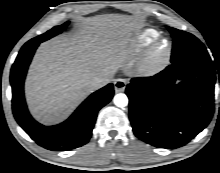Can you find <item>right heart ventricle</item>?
I'll return each mask as SVG.
<instances>
[{"instance_id": "obj_1", "label": "right heart ventricle", "mask_w": 220, "mask_h": 173, "mask_svg": "<svg viewBox=\"0 0 220 173\" xmlns=\"http://www.w3.org/2000/svg\"><path fill=\"white\" fill-rule=\"evenodd\" d=\"M158 36L159 33L150 28L144 29L134 35L125 50L127 57L131 59L140 54L143 49L156 40Z\"/></svg>"}]
</instances>
